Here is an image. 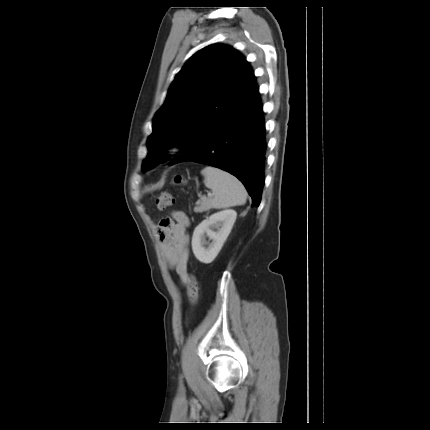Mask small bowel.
<instances>
[{
	"mask_svg": "<svg viewBox=\"0 0 430 430\" xmlns=\"http://www.w3.org/2000/svg\"><path fill=\"white\" fill-rule=\"evenodd\" d=\"M188 224L189 220L184 212L173 211L170 217L162 218L156 228L164 260L168 268L177 273L182 286L189 283Z\"/></svg>",
	"mask_w": 430,
	"mask_h": 430,
	"instance_id": "small-bowel-1",
	"label": "small bowel"
}]
</instances>
